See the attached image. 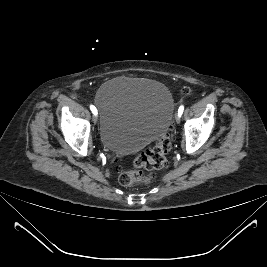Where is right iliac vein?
<instances>
[{"label":"right iliac vein","mask_w":267,"mask_h":267,"mask_svg":"<svg viewBox=\"0 0 267 267\" xmlns=\"http://www.w3.org/2000/svg\"><path fill=\"white\" fill-rule=\"evenodd\" d=\"M93 121H94V123H97V116L93 117Z\"/></svg>","instance_id":"1"}]
</instances>
